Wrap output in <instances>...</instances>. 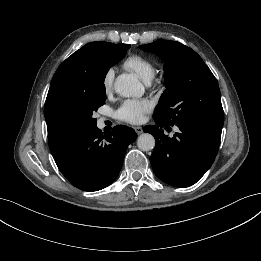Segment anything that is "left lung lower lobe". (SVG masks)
Returning a JSON list of instances; mask_svg holds the SVG:
<instances>
[{"instance_id":"1","label":"left lung lower lobe","mask_w":261,"mask_h":261,"mask_svg":"<svg viewBox=\"0 0 261 261\" xmlns=\"http://www.w3.org/2000/svg\"><path fill=\"white\" fill-rule=\"evenodd\" d=\"M157 126L144 131L155 137L150 162L155 175L176 187L195 184L212 165L220 144L223 122H198L177 125L179 132L172 138L163 133L168 126L155 120Z\"/></svg>"}]
</instances>
